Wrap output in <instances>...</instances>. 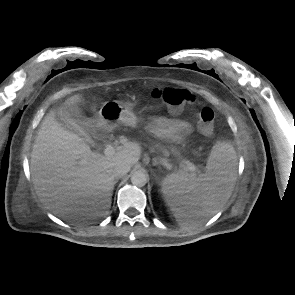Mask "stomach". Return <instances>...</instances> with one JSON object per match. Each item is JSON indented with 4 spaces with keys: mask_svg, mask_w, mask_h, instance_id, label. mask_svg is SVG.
Listing matches in <instances>:
<instances>
[{
    "mask_svg": "<svg viewBox=\"0 0 295 295\" xmlns=\"http://www.w3.org/2000/svg\"><path fill=\"white\" fill-rule=\"evenodd\" d=\"M139 123V118L133 111L130 104H123L119 101L105 102L95 121L96 126L113 129L119 125H126L136 128Z\"/></svg>",
    "mask_w": 295,
    "mask_h": 295,
    "instance_id": "1",
    "label": "stomach"
}]
</instances>
